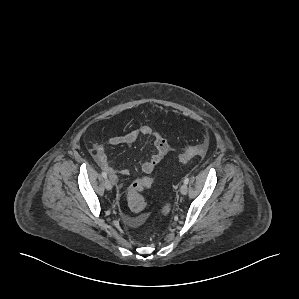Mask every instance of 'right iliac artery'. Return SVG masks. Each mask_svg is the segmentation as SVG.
Instances as JSON below:
<instances>
[{
  "label": "right iliac artery",
  "instance_id": "right-iliac-artery-1",
  "mask_svg": "<svg viewBox=\"0 0 299 299\" xmlns=\"http://www.w3.org/2000/svg\"><path fill=\"white\" fill-rule=\"evenodd\" d=\"M102 176H103V178H107V174H106V172H102Z\"/></svg>",
  "mask_w": 299,
  "mask_h": 299
}]
</instances>
